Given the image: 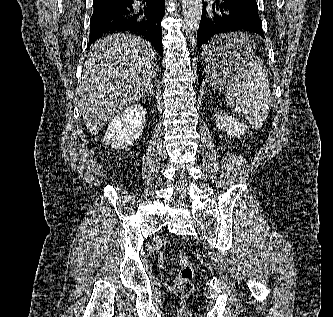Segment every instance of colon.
<instances>
[{"mask_svg": "<svg viewBox=\"0 0 333 317\" xmlns=\"http://www.w3.org/2000/svg\"><path fill=\"white\" fill-rule=\"evenodd\" d=\"M179 261V270L175 279V283L178 288L184 289L186 288L195 276L194 268L190 262L189 257L183 251L178 254Z\"/></svg>", "mask_w": 333, "mask_h": 317, "instance_id": "obj_1", "label": "colon"}]
</instances>
